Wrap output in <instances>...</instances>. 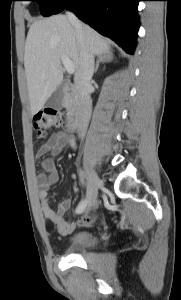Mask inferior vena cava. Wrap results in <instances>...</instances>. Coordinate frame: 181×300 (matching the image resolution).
Masks as SVG:
<instances>
[{
    "label": "inferior vena cava",
    "instance_id": "1",
    "mask_svg": "<svg viewBox=\"0 0 181 300\" xmlns=\"http://www.w3.org/2000/svg\"><path fill=\"white\" fill-rule=\"evenodd\" d=\"M67 18L75 28L77 39L81 46V64L77 77L75 78V86L79 94V107L77 113L78 133L80 137H83L92 113L90 91L92 88L91 79L94 73V57L85 43V37L77 17L72 12H68Z\"/></svg>",
    "mask_w": 181,
    "mask_h": 300
}]
</instances>
